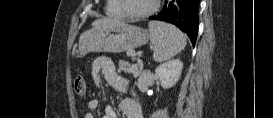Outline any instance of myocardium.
Wrapping results in <instances>:
<instances>
[{
    "label": "myocardium",
    "instance_id": "myocardium-1",
    "mask_svg": "<svg viewBox=\"0 0 273 118\" xmlns=\"http://www.w3.org/2000/svg\"><path fill=\"white\" fill-rule=\"evenodd\" d=\"M119 5L127 17L133 18V19H143V18L150 17L152 14H154L157 11L159 7V0H154L152 7L150 9L143 12H138V13L131 12L127 9L126 0H119Z\"/></svg>",
    "mask_w": 273,
    "mask_h": 118
}]
</instances>
